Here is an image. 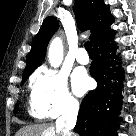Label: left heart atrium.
<instances>
[{"instance_id":"left-heart-atrium-1","label":"left heart atrium","mask_w":136,"mask_h":136,"mask_svg":"<svg viewBox=\"0 0 136 136\" xmlns=\"http://www.w3.org/2000/svg\"><path fill=\"white\" fill-rule=\"evenodd\" d=\"M72 84L75 93L82 95L90 88L91 80L85 72L77 71L73 75Z\"/></svg>"}]
</instances>
